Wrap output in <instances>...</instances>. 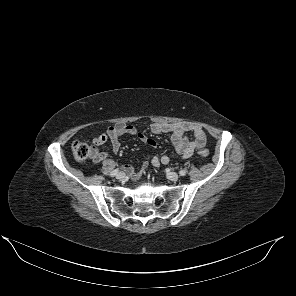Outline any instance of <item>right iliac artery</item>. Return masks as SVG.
<instances>
[{
    "label": "right iliac artery",
    "mask_w": 296,
    "mask_h": 296,
    "mask_svg": "<svg viewBox=\"0 0 296 296\" xmlns=\"http://www.w3.org/2000/svg\"><path fill=\"white\" fill-rule=\"evenodd\" d=\"M118 172H119V169H115L111 172L110 176L114 177L115 175H117Z\"/></svg>",
    "instance_id": "1"
}]
</instances>
